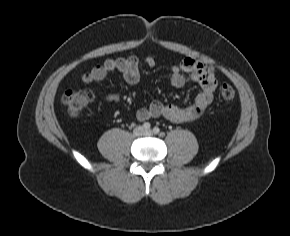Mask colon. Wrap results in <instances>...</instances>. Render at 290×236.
<instances>
[{
	"label": "colon",
	"instance_id": "colon-1",
	"mask_svg": "<svg viewBox=\"0 0 290 236\" xmlns=\"http://www.w3.org/2000/svg\"><path fill=\"white\" fill-rule=\"evenodd\" d=\"M220 93L221 97L227 101L235 97V90L230 85H223ZM92 99L93 93L87 89H69L62 96V102L71 116H78L91 103Z\"/></svg>",
	"mask_w": 290,
	"mask_h": 236
}]
</instances>
